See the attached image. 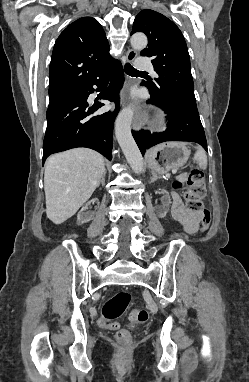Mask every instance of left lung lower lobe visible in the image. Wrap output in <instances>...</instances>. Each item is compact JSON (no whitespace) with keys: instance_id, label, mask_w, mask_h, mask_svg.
Here are the masks:
<instances>
[{"instance_id":"left-lung-lower-lobe-1","label":"left lung lower lobe","mask_w":249,"mask_h":382,"mask_svg":"<svg viewBox=\"0 0 249 382\" xmlns=\"http://www.w3.org/2000/svg\"><path fill=\"white\" fill-rule=\"evenodd\" d=\"M150 92V91H149ZM152 104L168 115L166 131L151 134L147 130L132 131V135L144 155L146 149L166 141L196 142L207 150V142L197 107L184 103H167L150 92Z\"/></svg>"}]
</instances>
